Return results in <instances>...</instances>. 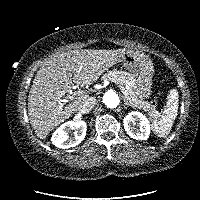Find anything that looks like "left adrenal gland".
I'll return each mask as SVG.
<instances>
[{
  "mask_svg": "<svg viewBox=\"0 0 200 200\" xmlns=\"http://www.w3.org/2000/svg\"><path fill=\"white\" fill-rule=\"evenodd\" d=\"M123 100H124V108H127V106L135 107L133 104H131V103L126 99V97L123 98Z\"/></svg>",
  "mask_w": 200,
  "mask_h": 200,
  "instance_id": "left-adrenal-gland-1",
  "label": "left adrenal gland"
}]
</instances>
